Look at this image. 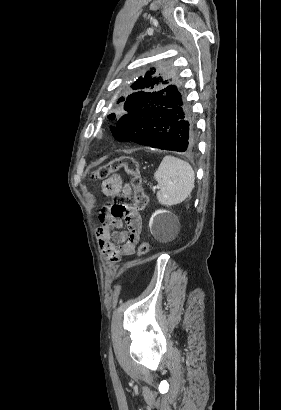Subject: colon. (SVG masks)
Masks as SVG:
<instances>
[{
    "mask_svg": "<svg viewBox=\"0 0 281 410\" xmlns=\"http://www.w3.org/2000/svg\"><path fill=\"white\" fill-rule=\"evenodd\" d=\"M120 170H123L131 178L133 198L126 194H119L114 197L111 214L115 217H122L142 211L148 202V196L143 186V179L138 163L131 157H119L106 165L100 166L92 173V177L94 179L103 180ZM148 253L149 244L142 242L138 248L139 257H145Z\"/></svg>",
    "mask_w": 281,
    "mask_h": 410,
    "instance_id": "colon-1",
    "label": "colon"
}]
</instances>
